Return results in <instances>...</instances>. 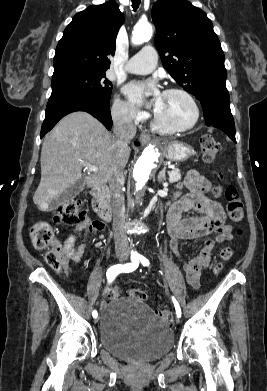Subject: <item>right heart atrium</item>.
<instances>
[{"label":"right heart atrium","mask_w":267,"mask_h":391,"mask_svg":"<svg viewBox=\"0 0 267 391\" xmlns=\"http://www.w3.org/2000/svg\"><path fill=\"white\" fill-rule=\"evenodd\" d=\"M113 120L122 125H135L143 122L147 114L137 110L131 103L116 98L111 109Z\"/></svg>","instance_id":"d8ad5b80"}]
</instances>
